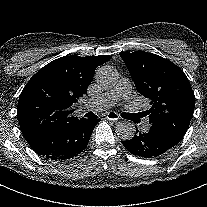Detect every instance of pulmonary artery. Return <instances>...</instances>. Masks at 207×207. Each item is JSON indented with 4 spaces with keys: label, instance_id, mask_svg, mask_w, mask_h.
<instances>
[{
    "label": "pulmonary artery",
    "instance_id": "obj_1",
    "mask_svg": "<svg viewBox=\"0 0 207 207\" xmlns=\"http://www.w3.org/2000/svg\"><path fill=\"white\" fill-rule=\"evenodd\" d=\"M130 94V83L126 79H121L119 85L102 94L98 98H92L87 103V108L92 111H103L114 106L120 99H127ZM144 130H148L149 124L145 123Z\"/></svg>",
    "mask_w": 207,
    "mask_h": 207
}]
</instances>
